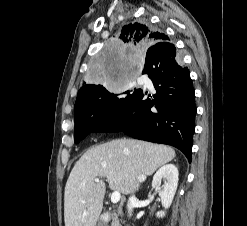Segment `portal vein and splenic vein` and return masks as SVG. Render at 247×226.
Here are the masks:
<instances>
[{
    "label": "portal vein and splenic vein",
    "instance_id": "18ae733b",
    "mask_svg": "<svg viewBox=\"0 0 247 226\" xmlns=\"http://www.w3.org/2000/svg\"><path fill=\"white\" fill-rule=\"evenodd\" d=\"M95 182L98 183L100 182L99 179H95ZM121 194L119 191H114L111 195V202L112 203H118L120 201Z\"/></svg>",
    "mask_w": 247,
    "mask_h": 226
}]
</instances>
